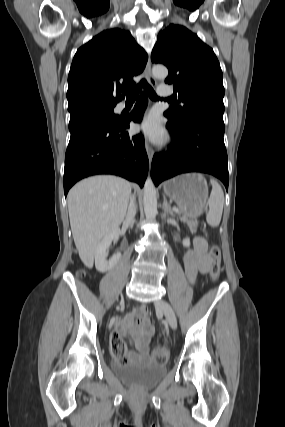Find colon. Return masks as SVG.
<instances>
[{
	"label": "colon",
	"mask_w": 285,
	"mask_h": 427,
	"mask_svg": "<svg viewBox=\"0 0 285 427\" xmlns=\"http://www.w3.org/2000/svg\"><path fill=\"white\" fill-rule=\"evenodd\" d=\"M209 255L212 263L210 266V276L213 280H217L221 273V251L218 245H213L210 248ZM111 352L114 357L120 361H125L128 356L127 346L124 340L115 335L111 338ZM152 359L157 365H164L168 359V351L165 347L158 345L152 355Z\"/></svg>",
	"instance_id": "obj_1"
}]
</instances>
